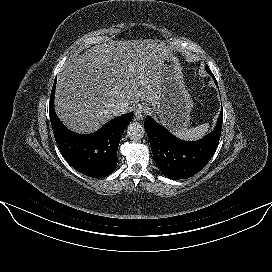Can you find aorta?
<instances>
[{
	"instance_id": "obj_1",
	"label": "aorta",
	"mask_w": 272,
	"mask_h": 272,
	"mask_svg": "<svg viewBox=\"0 0 272 272\" xmlns=\"http://www.w3.org/2000/svg\"><path fill=\"white\" fill-rule=\"evenodd\" d=\"M127 135L130 139L137 141L144 137L145 129L140 123L133 122L127 127Z\"/></svg>"
}]
</instances>
